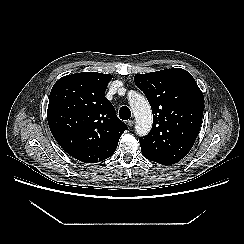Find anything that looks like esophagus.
Here are the masks:
<instances>
[{"label":"esophagus","mask_w":244,"mask_h":244,"mask_svg":"<svg viewBox=\"0 0 244 244\" xmlns=\"http://www.w3.org/2000/svg\"><path fill=\"white\" fill-rule=\"evenodd\" d=\"M127 125H128V127L131 128L134 125V121L133 120H128L127 121Z\"/></svg>","instance_id":"esophagus-1"}]
</instances>
